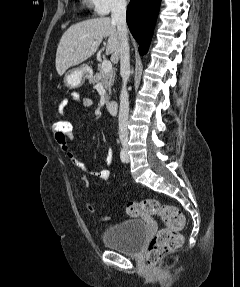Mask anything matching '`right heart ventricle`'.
Listing matches in <instances>:
<instances>
[{"label":"right heart ventricle","mask_w":240,"mask_h":287,"mask_svg":"<svg viewBox=\"0 0 240 287\" xmlns=\"http://www.w3.org/2000/svg\"><path fill=\"white\" fill-rule=\"evenodd\" d=\"M86 4H90V0H83Z\"/></svg>","instance_id":"e07e8e85"}]
</instances>
